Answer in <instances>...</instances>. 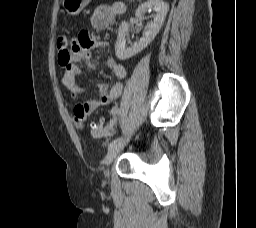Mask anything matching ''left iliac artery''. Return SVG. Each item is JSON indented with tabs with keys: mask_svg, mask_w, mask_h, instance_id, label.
<instances>
[{
	"mask_svg": "<svg viewBox=\"0 0 256 228\" xmlns=\"http://www.w3.org/2000/svg\"><path fill=\"white\" fill-rule=\"evenodd\" d=\"M121 139H122L121 137H118V138L112 140V141L110 142V144H109V147H111L112 145L116 144V143L119 142Z\"/></svg>",
	"mask_w": 256,
	"mask_h": 228,
	"instance_id": "left-iliac-artery-1",
	"label": "left iliac artery"
}]
</instances>
